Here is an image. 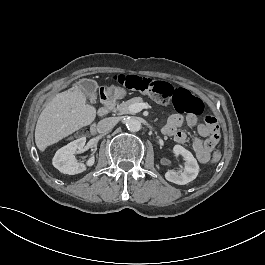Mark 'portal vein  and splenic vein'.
<instances>
[{"label":"portal vein and splenic vein","mask_w":265,"mask_h":265,"mask_svg":"<svg viewBox=\"0 0 265 265\" xmlns=\"http://www.w3.org/2000/svg\"><path fill=\"white\" fill-rule=\"evenodd\" d=\"M128 108L131 113H137L140 112L142 109H150V106L147 103H135L129 105Z\"/></svg>","instance_id":"portal-vein-and-splenic-vein-1"}]
</instances>
